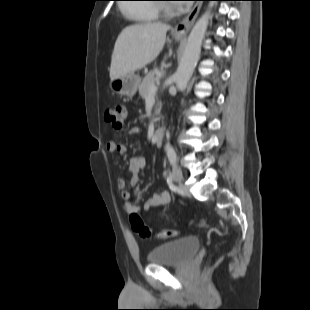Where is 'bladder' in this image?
Instances as JSON below:
<instances>
[{
	"label": "bladder",
	"mask_w": 310,
	"mask_h": 310,
	"mask_svg": "<svg viewBox=\"0 0 310 310\" xmlns=\"http://www.w3.org/2000/svg\"><path fill=\"white\" fill-rule=\"evenodd\" d=\"M199 248L198 239L187 236L159 244L148 253L147 259L151 264L180 266L191 261Z\"/></svg>",
	"instance_id": "bladder-1"
}]
</instances>
